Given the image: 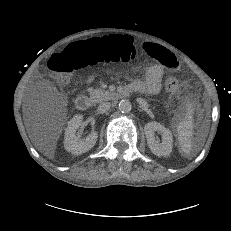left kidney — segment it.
<instances>
[{
  "mask_svg": "<svg viewBox=\"0 0 231 231\" xmlns=\"http://www.w3.org/2000/svg\"><path fill=\"white\" fill-rule=\"evenodd\" d=\"M147 143L152 151L157 156H169L172 152L173 138L169 129L165 128L158 122H148L144 127ZM161 134V142L156 139L155 133Z\"/></svg>",
  "mask_w": 231,
  "mask_h": 231,
  "instance_id": "obj_1",
  "label": "left kidney"
}]
</instances>
